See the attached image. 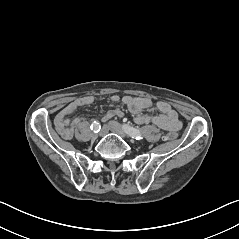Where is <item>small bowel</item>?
Wrapping results in <instances>:
<instances>
[{"label": "small bowel", "mask_w": 239, "mask_h": 239, "mask_svg": "<svg viewBox=\"0 0 239 239\" xmlns=\"http://www.w3.org/2000/svg\"><path fill=\"white\" fill-rule=\"evenodd\" d=\"M120 100L128 107L130 112L134 114V120L139 125L152 123L162 129L170 131H177L182 126L177 112L165 101L153 102L151 99L145 97L124 96L120 98L118 95L111 96L113 103H118ZM94 101L95 98L93 96L80 97L59 111L55 118V126L63 138L71 139L73 137V127L84 121L83 116H78L73 119H70L69 116L75 112L77 108L90 105ZM153 106L157 108L159 114L149 116L142 113L145 109ZM115 116H122V112L119 109H111L105 114L103 120L107 121Z\"/></svg>", "instance_id": "c3829d8e"}]
</instances>
